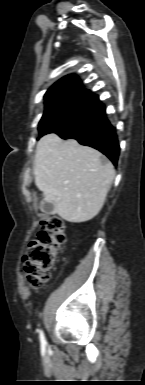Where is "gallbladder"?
<instances>
[{"instance_id": "1", "label": "gallbladder", "mask_w": 145, "mask_h": 385, "mask_svg": "<svg viewBox=\"0 0 145 385\" xmlns=\"http://www.w3.org/2000/svg\"><path fill=\"white\" fill-rule=\"evenodd\" d=\"M40 209L43 213L48 215L55 213L54 204L50 202L42 201L40 205Z\"/></svg>"}]
</instances>
